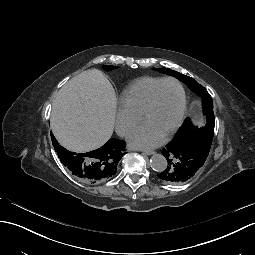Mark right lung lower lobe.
I'll list each match as a JSON object with an SVG mask.
<instances>
[{
  "mask_svg": "<svg viewBox=\"0 0 255 255\" xmlns=\"http://www.w3.org/2000/svg\"><path fill=\"white\" fill-rule=\"evenodd\" d=\"M100 176V160L91 155L83 157V177L85 179L98 178Z\"/></svg>",
  "mask_w": 255,
  "mask_h": 255,
  "instance_id": "right-lung-lower-lobe-1",
  "label": "right lung lower lobe"
}]
</instances>
